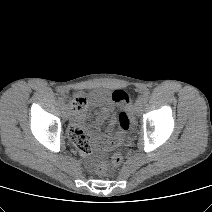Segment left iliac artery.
<instances>
[{"instance_id": "44dca946", "label": "left iliac artery", "mask_w": 212, "mask_h": 212, "mask_svg": "<svg viewBox=\"0 0 212 212\" xmlns=\"http://www.w3.org/2000/svg\"><path fill=\"white\" fill-rule=\"evenodd\" d=\"M141 98H143V100L146 102L148 100V98H149V92H144L142 94V97Z\"/></svg>"}]
</instances>
